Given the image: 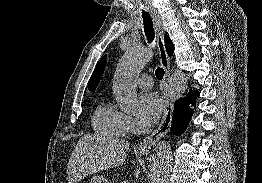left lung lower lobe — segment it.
I'll list each match as a JSON object with an SVG mask.
<instances>
[{"label": "left lung lower lobe", "instance_id": "left-lung-lower-lobe-1", "mask_svg": "<svg viewBox=\"0 0 262 183\" xmlns=\"http://www.w3.org/2000/svg\"><path fill=\"white\" fill-rule=\"evenodd\" d=\"M198 95V91H190L186 97L180 98L175 102L171 124V132L173 134L180 135L186 129L189 118L192 115L189 105H196L195 100Z\"/></svg>", "mask_w": 262, "mask_h": 183}]
</instances>
